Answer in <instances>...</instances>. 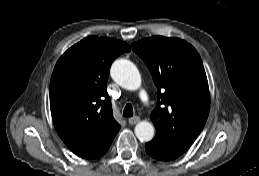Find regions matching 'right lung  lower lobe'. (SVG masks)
Segmentation results:
<instances>
[{"mask_svg":"<svg viewBox=\"0 0 259 176\" xmlns=\"http://www.w3.org/2000/svg\"><path fill=\"white\" fill-rule=\"evenodd\" d=\"M107 150H108V149H107ZM107 150H106L103 154H105V153L107 152ZM103 154H102V155H103ZM102 155H101V156H102Z\"/></svg>","mask_w":259,"mask_h":176,"instance_id":"98d812e1","label":"right lung lower lobe"}]
</instances>
